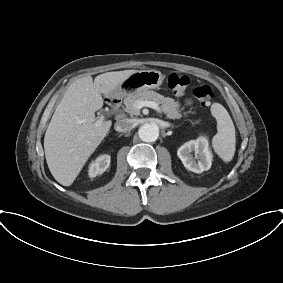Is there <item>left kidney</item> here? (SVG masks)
Masks as SVG:
<instances>
[{
    "instance_id": "obj_1",
    "label": "left kidney",
    "mask_w": 283,
    "mask_h": 283,
    "mask_svg": "<svg viewBox=\"0 0 283 283\" xmlns=\"http://www.w3.org/2000/svg\"><path fill=\"white\" fill-rule=\"evenodd\" d=\"M192 152H194L195 158ZM177 155L185 168L194 173L207 171L212 164V154L209 150L208 140L205 137L186 142L178 149Z\"/></svg>"
}]
</instances>
